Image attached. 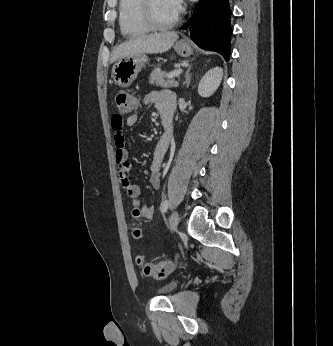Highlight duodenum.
<instances>
[{"instance_id": "obj_1", "label": "duodenum", "mask_w": 333, "mask_h": 346, "mask_svg": "<svg viewBox=\"0 0 333 346\" xmlns=\"http://www.w3.org/2000/svg\"><path fill=\"white\" fill-rule=\"evenodd\" d=\"M162 127H163V136L168 137L170 135L171 124L168 118L161 117Z\"/></svg>"}]
</instances>
